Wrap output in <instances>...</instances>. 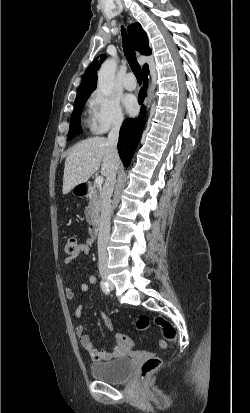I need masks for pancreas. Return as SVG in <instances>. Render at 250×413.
<instances>
[{
    "label": "pancreas",
    "instance_id": "1",
    "mask_svg": "<svg viewBox=\"0 0 250 413\" xmlns=\"http://www.w3.org/2000/svg\"><path fill=\"white\" fill-rule=\"evenodd\" d=\"M101 203V190L96 186L91 187V191L89 193V204L85 209L86 219L90 224H95L98 222Z\"/></svg>",
    "mask_w": 250,
    "mask_h": 413
}]
</instances>
